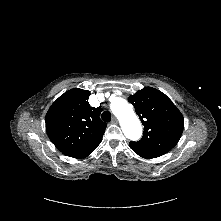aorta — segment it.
Segmentation results:
<instances>
[{"label": "aorta", "instance_id": "obj_1", "mask_svg": "<svg viewBox=\"0 0 221 221\" xmlns=\"http://www.w3.org/2000/svg\"><path fill=\"white\" fill-rule=\"evenodd\" d=\"M110 107L120 121L124 135L130 140H138L142 135V127L132 105L121 97H115L111 101Z\"/></svg>", "mask_w": 221, "mask_h": 221}]
</instances>
